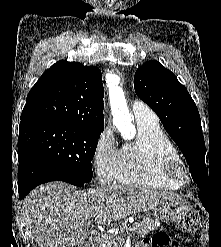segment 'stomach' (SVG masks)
Returning <instances> with one entry per match:
<instances>
[{
	"instance_id": "stomach-1",
	"label": "stomach",
	"mask_w": 221,
	"mask_h": 247,
	"mask_svg": "<svg viewBox=\"0 0 221 247\" xmlns=\"http://www.w3.org/2000/svg\"><path fill=\"white\" fill-rule=\"evenodd\" d=\"M191 210L188 201L182 197H175L159 205L156 209V216L160 220L167 222H178L183 219Z\"/></svg>"
}]
</instances>
